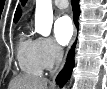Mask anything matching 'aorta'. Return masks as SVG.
Listing matches in <instances>:
<instances>
[{
    "label": "aorta",
    "instance_id": "762f6f07",
    "mask_svg": "<svg viewBox=\"0 0 107 89\" xmlns=\"http://www.w3.org/2000/svg\"><path fill=\"white\" fill-rule=\"evenodd\" d=\"M53 23L51 0H36L35 30L42 36H49Z\"/></svg>",
    "mask_w": 107,
    "mask_h": 89
}]
</instances>
